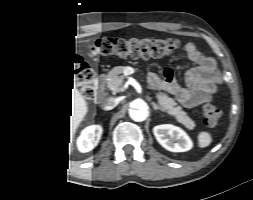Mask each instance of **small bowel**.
Returning <instances> with one entry per match:
<instances>
[{
  "instance_id": "small-bowel-1",
  "label": "small bowel",
  "mask_w": 253,
  "mask_h": 200,
  "mask_svg": "<svg viewBox=\"0 0 253 200\" xmlns=\"http://www.w3.org/2000/svg\"><path fill=\"white\" fill-rule=\"evenodd\" d=\"M189 52L191 60L197 65V68L192 76L194 88L186 89L183 98L193 104L208 102L218 89L219 76L216 64L212 58L204 56L193 46L189 47ZM168 75L170 76L169 73Z\"/></svg>"
}]
</instances>
